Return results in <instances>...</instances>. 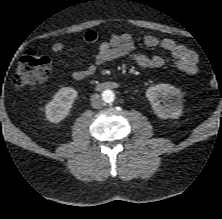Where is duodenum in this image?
<instances>
[{
	"instance_id": "obj_1",
	"label": "duodenum",
	"mask_w": 222,
	"mask_h": 219,
	"mask_svg": "<svg viewBox=\"0 0 222 219\" xmlns=\"http://www.w3.org/2000/svg\"><path fill=\"white\" fill-rule=\"evenodd\" d=\"M117 83L115 82H107V83H104L103 85H101V88L102 89H114V88H117Z\"/></svg>"
}]
</instances>
